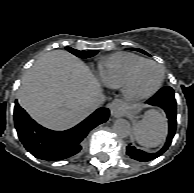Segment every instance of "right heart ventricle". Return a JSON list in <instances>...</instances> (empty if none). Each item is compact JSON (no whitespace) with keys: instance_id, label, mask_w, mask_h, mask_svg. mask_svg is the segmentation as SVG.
Returning a JSON list of instances; mask_svg holds the SVG:
<instances>
[{"instance_id":"e07e8e85","label":"right heart ventricle","mask_w":194,"mask_h":193,"mask_svg":"<svg viewBox=\"0 0 194 193\" xmlns=\"http://www.w3.org/2000/svg\"><path fill=\"white\" fill-rule=\"evenodd\" d=\"M144 58L129 52H117L103 58L98 66L101 81L112 88H122L132 68Z\"/></svg>"}]
</instances>
